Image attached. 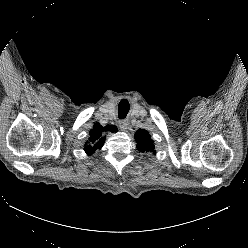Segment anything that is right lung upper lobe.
<instances>
[{
    "label": "right lung upper lobe",
    "instance_id": "obj_1",
    "mask_svg": "<svg viewBox=\"0 0 248 248\" xmlns=\"http://www.w3.org/2000/svg\"><path fill=\"white\" fill-rule=\"evenodd\" d=\"M104 131L117 132V127L112 125L102 127L99 123H96L94 128L90 131V145L85 147V151L88 155H92L95 150L102 147L105 140V137H102Z\"/></svg>",
    "mask_w": 248,
    "mask_h": 248
}]
</instances>
